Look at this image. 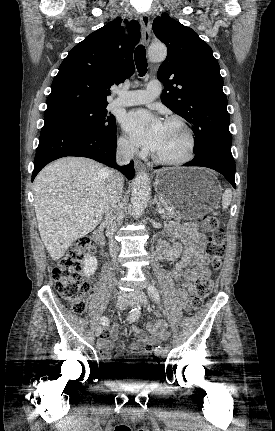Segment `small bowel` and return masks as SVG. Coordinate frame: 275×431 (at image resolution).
Returning a JSON list of instances; mask_svg holds the SVG:
<instances>
[{
	"instance_id": "1",
	"label": "small bowel",
	"mask_w": 275,
	"mask_h": 431,
	"mask_svg": "<svg viewBox=\"0 0 275 431\" xmlns=\"http://www.w3.org/2000/svg\"><path fill=\"white\" fill-rule=\"evenodd\" d=\"M168 233L176 242L169 244L162 241L158 244V254L166 261L179 259L169 276L184 281V288L177 291L181 306L184 309L190 306V296L194 294V283L202 272L208 271L205 267L210 260L205 254V236L194 223H171ZM148 334L138 332V342L133 347L139 354H144L146 346L152 347L164 341L168 336L165 323L151 320L146 324ZM118 339V326L114 324L98 340V348L103 355H108L113 349V343Z\"/></svg>"
}]
</instances>
